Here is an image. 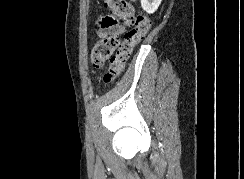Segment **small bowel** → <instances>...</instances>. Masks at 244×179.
<instances>
[{"instance_id":"c3829d8e","label":"small bowel","mask_w":244,"mask_h":179,"mask_svg":"<svg viewBox=\"0 0 244 179\" xmlns=\"http://www.w3.org/2000/svg\"><path fill=\"white\" fill-rule=\"evenodd\" d=\"M113 26L112 19L108 16L102 19L101 30L99 31V35H104V31L110 29Z\"/></svg>"}]
</instances>
